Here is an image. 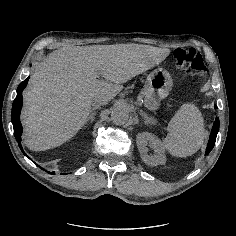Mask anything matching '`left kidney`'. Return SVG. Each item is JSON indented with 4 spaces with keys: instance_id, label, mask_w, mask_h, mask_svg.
I'll use <instances>...</instances> for the list:
<instances>
[{
    "instance_id": "left-kidney-1",
    "label": "left kidney",
    "mask_w": 236,
    "mask_h": 236,
    "mask_svg": "<svg viewBox=\"0 0 236 236\" xmlns=\"http://www.w3.org/2000/svg\"><path fill=\"white\" fill-rule=\"evenodd\" d=\"M154 150V155H148L147 143ZM136 143L142 160L150 166L163 165L166 163L165 148L160 139L154 134L143 132L139 133Z\"/></svg>"
}]
</instances>
